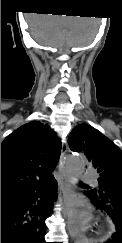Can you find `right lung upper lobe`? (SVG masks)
Returning a JSON list of instances; mask_svg holds the SVG:
<instances>
[{
  "label": "right lung upper lobe",
  "mask_w": 122,
  "mask_h": 243,
  "mask_svg": "<svg viewBox=\"0 0 122 243\" xmlns=\"http://www.w3.org/2000/svg\"><path fill=\"white\" fill-rule=\"evenodd\" d=\"M61 152V142L47 125L25 124L1 144V196L50 177Z\"/></svg>",
  "instance_id": "right-lung-upper-lobe-1"
}]
</instances>
